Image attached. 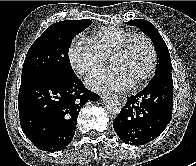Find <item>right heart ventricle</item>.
Returning a JSON list of instances; mask_svg holds the SVG:
<instances>
[{
    "mask_svg": "<svg viewBox=\"0 0 196 166\" xmlns=\"http://www.w3.org/2000/svg\"><path fill=\"white\" fill-rule=\"evenodd\" d=\"M133 33V31L124 28L106 27L95 30L90 40L105 58H109Z\"/></svg>",
    "mask_w": 196,
    "mask_h": 166,
    "instance_id": "obj_1",
    "label": "right heart ventricle"
}]
</instances>
